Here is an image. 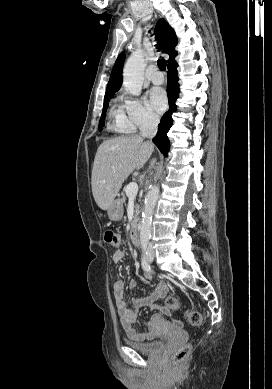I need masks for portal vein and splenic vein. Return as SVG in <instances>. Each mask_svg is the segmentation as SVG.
Returning a JSON list of instances; mask_svg holds the SVG:
<instances>
[{
    "label": "portal vein and splenic vein",
    "mask_w": 272,
    "mask_h": 389,
    "mask_svg": "<svg viewBox=\"0 0 272 389\" xmlns=\"http://www.w3.org/2000/svg\"><path fill=\"white\" fill-rule=\"evenodd\" d=\"M126 195L130 198H134L138 192V185L135 182H131L125 189Z\"/></svg>",
    "instance_id": "obj_1"
}]
</instances>
